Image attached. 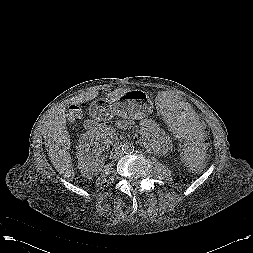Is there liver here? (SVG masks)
<instances>
[{"mask_svg":"<svg viewBox=\"0 0 253 253\" xmlns=\"http://www.w3.org/2000/svg\"><path fill=\"white\" fill-rule=\"evenodd\" d=\"M129 90L131 89H116L108 93L106 95V98H118ZM97 96L98 91L94 89L72 97L69 100L68 104H81L87 101H91ZM65 110L66 105L62 104L49 115L48 120L45 124L44 139L46 147L48 148L49 158L55 169L65 178H70L73 180L75 173L69 152L71 142L70 135L66 127Z\"/></svg>","mask_w":253,"mask_h":253,"instance_id":"1","label":"liver"}]
</instances>
